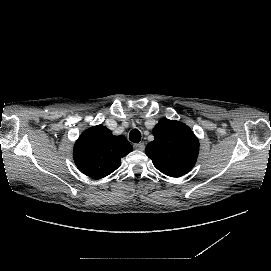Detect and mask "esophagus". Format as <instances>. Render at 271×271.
Segmentation results:
<instances>
[{"label": "esophagus", "instance_id": "esophagus-1", "mask_svg": "<svg viewBox=\"0 0 271 271\" xmlns=\"http://www.w3.org/2000/svg\"><path fill=\"white\" fill-rule=\"evenodd\" d=\"M133 148L136 150L143 151L145 149V144L143 142L135 143V144H133Z\"/></svg>", "mask_w": 271, "mask_h": 271}]
</instances>
